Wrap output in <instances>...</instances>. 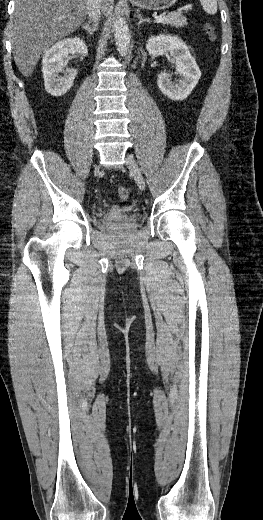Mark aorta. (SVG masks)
<instances>
[{"instance_id":"aorta-1","label":"aorta","mask_w":263,"mask_h":520,"mask_svg":"<svg viewBox=\"0 0 263 520\" xmlns=\"http://www.w3.org/2000/svg\"><path fill=\"white\" fill-rule=\"evenodd\" d=\"M113 31L117 50L121 56H125L130 47V34L126 20L121 17L117 19L113 25Z\"/></svg>"}]
</instances>
